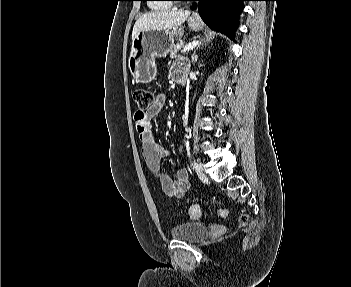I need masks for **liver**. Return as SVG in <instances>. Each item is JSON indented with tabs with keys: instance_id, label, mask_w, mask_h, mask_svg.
<instances>
[{
	"instance_id": "6515ba94",
	"label": "liver",
	"mask_w": 351,
	"mask_h": 287,
	"mask_svg": "<svg viewBox=\"0 0 351 287\" xmlns=\"http://www.w3.org/2000/svg\"><path fill=\"white\" fill-rule=\"evenodd\" d=\"M189 15V11L183 10L146 13L136 21L132 31V40L139 31L177 29Z\"/></svg>"
}]
</instances>
